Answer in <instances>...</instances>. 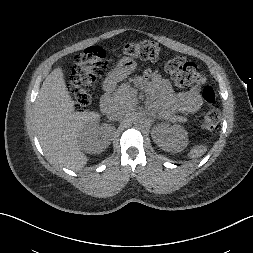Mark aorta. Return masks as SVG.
I'll return each instance as SVG.
<instances>
[{"instance_id":"obj_1","label":"aorta","mask_w":253,"mask_h":253,"mask_svg":"<svg viewBox=\"0 0 253 253\" xmlns=\"http://www.w3.org/2000/svg\"><path fill=\"white\" fill-rule=\"evenodd\" d=\"M133 121L136 124H142L146 121V116L142 112H135L133 113Z\"/></svg>"}]
</instances>
